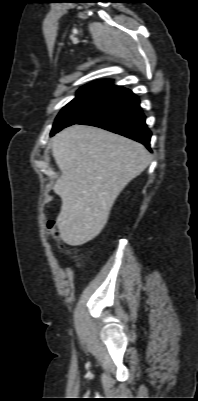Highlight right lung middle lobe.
<instances>
[{
  "label": "right lung middle lobe",
  "instance_id": "obj_1",
  "mask_svg": "<svg viewBox=\"0 0 198 401\" xmlns=\"http://www.w3.org/2000/svg\"><path fill=\"white\" fill-rule=\"evenodd\" d=\"M108 90H82L58 114L50 135L53 136L63 128L76 124L95 111L105 100Z\"/></svg>",
  "mask_w": 198,
  "mask_h": 401
}]
</instances>
